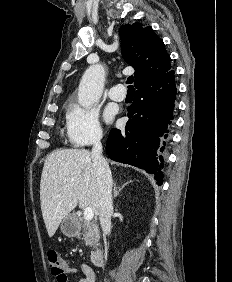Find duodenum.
Listing matches in <instances>:
<instances>
[{"mask_svg": "<svg viewBox=\"0 0 232 282\" xmlns=\"http://www.w3.org/2000/svg\"><path fill=\"white\" fill-rule=\"evenodd\" d=\"M91 261L95 266H102L104 257L103 250L100 247H96L91 252Z\"/></svg>", "mask_w": 232, "mask_h": 282, "instance_id": "1", "label": "duodenum"}]
</instances>
